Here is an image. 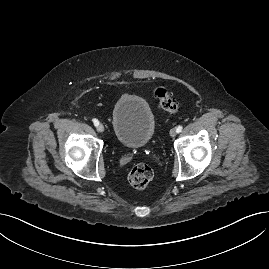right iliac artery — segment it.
Returning <instances> with one entry per match:
<instances>
[{
	"mask_svg": "<svg viewBox=\"0 0 269 269\" xmlns=\"http://www.w3.org/2000/svg\"><path fill=\"white\" fill-rule=\"evenodd\" d=\"M93 123H94L95 126L99 125V121L97 119H93Z\"/></svg>",
	"mask_w": 269,
	"mask_h": 269,
	"instance_id": "82829eb1",
	"label": "right iliac artery"
}]
</instances>
